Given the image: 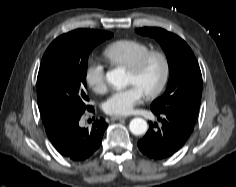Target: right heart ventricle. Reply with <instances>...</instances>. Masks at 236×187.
Returning <instances> with one entry per match:
<instances>
[{"label":"right heart ventricle","instance_id":"right-heart-ventricle-1","mask_svg":"<svg viewBox=\"0 0 236 187\" xmlns=\"http://www.w3.org/2000/svg\"><path fill=\"white\" fill-rule=\"evenodd\" d=\"M150 51V47L135 39H120L109 44L103 51L107 62L115 66L129 68L140 56Z\"/></svg>","mask_w":236,"mask_h":187}]
</instances>
